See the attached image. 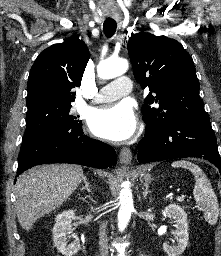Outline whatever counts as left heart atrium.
Segmentation results:
<instances>
[{"label":"left heart atrium","instance_id":"obj_1","mask_svg":"<svg viewBox=\"0 0 221 256\" xmlns=\"http://www.w3.org/2000/svg\"><path fill=\"white\" fill-rule=\"evenodd\" d=\"M89 127L100 138L120 142L135 133L137 118L129 104L120 102L93 111L89 118Z\"/></svg>","mask_w":221,"mask_h":256}]
</instances>
